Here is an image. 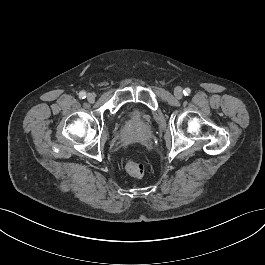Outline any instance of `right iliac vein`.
<instances>
[{
  "label": "right iliac vein",
  "instance_id": "63e3f726",
  "mask_svg": "<svg viewBox=\"0 0 265 265\" xmlns=\"http://www.w3.org/2000/svg\"><path fill=\"white\" fill-rule=\"evenodd\" d=\"M87 100H88V102L93 103L95 101V95L92 93H88L87 94Z\"/></svg>",
  "mask_w": 265,
  "mask_h": 265
}]
</instances>
